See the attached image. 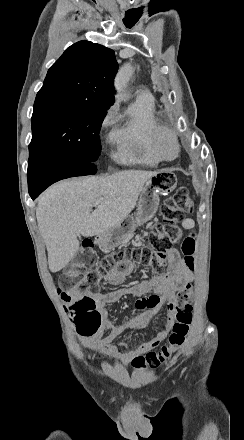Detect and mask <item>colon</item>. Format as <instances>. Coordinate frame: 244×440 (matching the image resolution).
Masks as SVG:
<instances>
[{"mask_svg":"<svg viewBox=\"0 0 244 440\" xmlns=\"http://www.w3.org/2000/svg\"><path fill=\"white\" fill-rule=\"evenodd\" d=\"M192 196L186 189L178 191L173 199H168L161 206V220L147 238L146 247H136L124 250H115L98 260L95 248L90 240L85 241L81 262H66L65 269L69 275H60L59 288L60 299L70 303V296L65 291L76 292L77 285L80 293L86 294L83 298H74L72 304H68L67 311L70 319H100L101 311L94 310L95 300L89 295L90 290L97 292L101 284L100 272L109 270L112 266L122 263L130 257L135 263L163 271L167 261V251L177 243L180 238V223L185 216L192 212ZM181 252L190 268H194L196 252V240L194 235L187 236L181 244ZM83 273H86L85 276ZM91 288V289H90ZM65 290V291H64ZM193 288L185 286L176 294L175 300L169 309L174 314V324L169 340L157 351H149L144 355L135 357L132 366L135 369H154L163 365L178 350H180L189 334L193 318ZM90 303V304H89Z\"/></svg>","mask_w":244,"mask_h":440,"instance_id":"1","label":"colon"}]
</instances>
